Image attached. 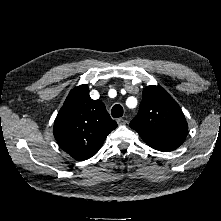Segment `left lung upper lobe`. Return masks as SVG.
Here are the masks:
<instances>
[{"label": "left lung upper lobe", "mask_w": 221, "mask_h": 221, "mask_svg": "<svg viewBox=\"0 0 221 221\" xmlns=\"http://www.w3.org/2000/svg\"><path fill=\"white\" fill-rule=\"evenodd\" d=\"M129 125L141 138L183 142L188 129L185 116L176 101L163 88L154 85L144 88L138 115Z\"/></svg>", "instance_id": "left-lung-upper-lobe-1"}]
</instances>
